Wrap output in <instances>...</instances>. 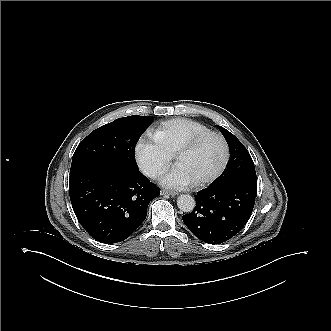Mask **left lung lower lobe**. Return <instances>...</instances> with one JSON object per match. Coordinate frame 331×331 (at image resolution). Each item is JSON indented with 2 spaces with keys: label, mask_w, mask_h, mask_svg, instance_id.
<instances>
[{
  "label": "left lung lower lobe",
  "mask_w": 331,
  "mask_h": 331,
  "mask_svg": "<svg viewBox=\"0 0 331 331\" xmlns=\"http://www.w3.org/2000/svg\"><path fill=\"white\" fill-rule=\"evenodd\" d=\"M257 182L237 178L213 184L195 195L196 208L183 222L200 240L221 244L236 236L252 213Z\"/></svg>",
  "instance_id": "0a47b994"
}]
</instances>
